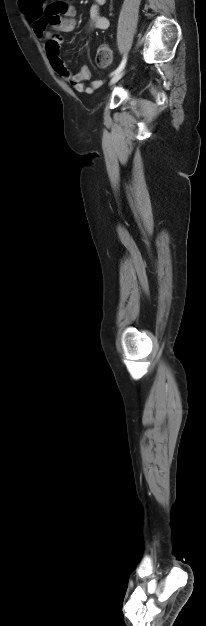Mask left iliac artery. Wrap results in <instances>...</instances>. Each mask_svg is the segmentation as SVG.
I'll list each match as a JSON object with an SVG mask.
<instances>
[{
  "label": "left iliac artery",
  "instance_id": "obj_1",
  "mask_svg": "<svg viewBox=\"0 0 206 626\" xmlns=\"http://www.w3.org/2000/svg\"><path fill=\"white\" fill-rule=\"evenodd\" d=\"M126 61H127V56L125 55L123 57L120 65L117 67V69L114 72L111 73V76L117 74L118 72H120L125 67Z\"/></svg>",
  "mask_w": 206,
  "mask_h": 626
}]
</instances>
